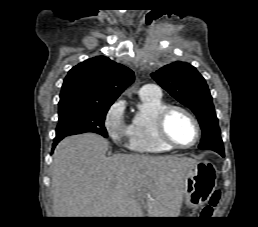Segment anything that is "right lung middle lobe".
<instances>
[{
	"label": "right lung middle lobe",
	"mask_w": 258,
	"mask_h": 227,
	"mask_svg": "<svg viewBox=\"0 0 258 227\" xmlns=\"http://www.w3.org/2000/svg\"><path fill=\"white\" fill-rule=\"evenodd\" d=\"M112 104L95 103L78 98L59 101L56 137L93 132L107 137L104 126L106 113Z\"/></svg>",
	"instance_id": "obj_1"
}]
</instances>
